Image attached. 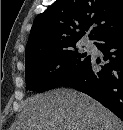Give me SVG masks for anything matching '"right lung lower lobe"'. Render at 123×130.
Instances as JSON below:
<instances>
[{
    "label": "right lung lower lobe",
    "instance_id": "1",
    "mask_svg": "<svg viewBox=\"0 0 123 130\" xmlns=\"http://www.w3.org/2000/svg\"><path fill=\"white\" fill-rule=\"evenodd\" d=\"M97 48L106 61L101 70L89 56L86 63L61 86L73 87L93 97L123 120V26L97 39Z\"/></svg>",
    "mask_w": 123,
    "mask_h": 130
}]
</instances>
